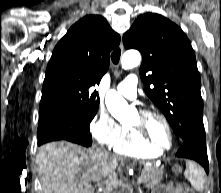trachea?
<instances>
[{"mask_svg": "<svg viewBox=\"0 0 221 193\" xmlns=\"http://www.w3.org/2000/svg\"><path fill=\"white\" fill-rule=\"evenodd\" d=\"M120 55H121L120 49H116V50L113 51V53L111 54V59H112V62L114 64H118L119 63Z\"/></svg>", "mask_w": 221, "mask_h": 193, "instance_id": "1", "label": "trachea"}]
</instances>
